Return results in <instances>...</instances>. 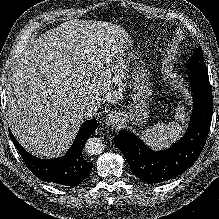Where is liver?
<instances>
[{
	"label": "liver",
	"instance_id": "obj_1",
	"mask_svg": "<svg viewBox=\"0 0 219 219\" xmlns=\"http://www.w3.org/2000/svg\"><path fill=\"white\" fill-rule=\"evenodd\" d=\"M127 40L118 25L75 19L41 34L17 57L6 86L8 123L27 151L61 156L84 121L80 106L97 111L122 99Z\"/></svg>",
	"mask_w": 219,
	"mask_h": 219
}]
</instances>
